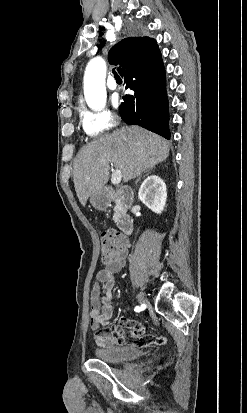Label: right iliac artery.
<instances>
[{
	"label": "right iliac artery",
	"mask_w": 247,
	"mask_h": 413,
	"mask_svg": "<svg viewBox=\"0 0 247 413\" xmlns=\"http://www.w3.org/2000/svg\"><path fill=\"white\" fill-rule=\"evenodd\" d=\"M134 311L140 312V311H141V308H140L139 306H136L135 309H134Z\"/></svg>",
	"instance_id": "obj_1"
}]
</instances>
